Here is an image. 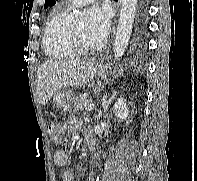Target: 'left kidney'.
I'll list each match as a JSON object with an SVG mask.
<instances>
[{
    "label": "left kidney",
    "instance_id": "obj_1",
    "mask_svg": "<svg viewBox=\"0 0 197 181\" xmlns=\"http://www.w3.org/2000/svg\"><path fill=\"white\" fill-rule=\"evenodd\" d=\"M113 111L117 118L126 119L129 114L128 107L126 106V100H124V98H119L114 105Z\"/></svg>",
    "mask_w": 197,
    "mask_h": 181
}]
</instances>
